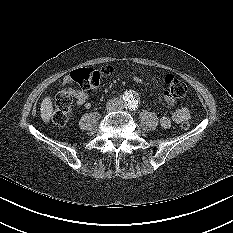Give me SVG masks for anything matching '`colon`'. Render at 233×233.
Segmentation results:
<instances>
[{"mask_svg": "<svg viewBox=\"0 0 233 233\" xmlns=\"http://www.w3.org/2000/svg\"><path fill=\"white\" fill-rule=\"evenodd\" d=\"M114 69L112 66H103L98 69L94 68H81L74 70L68 76L67 85H78L82 88H97L101 81L112 75ZM166 85L165 94L172 99H180L186 96L187 87L183 81L168 74L164 79ZM73 105V97L70 89L61 90L55 97L54 109L52 111V122L58 127L64 126L68 121V115ZM180 127L187 130L190 127L188 121L181 123Z\"/></svg>", "mask_w": 233, "mask_h": 233, "instance_id": "5ec220e1", "label": "colon"}]
</instances>
